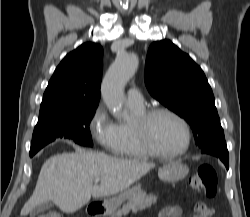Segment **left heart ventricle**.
<instances>
[{
  "mask_svg": "<svg viewBox=\"0 0 250 217\" xmlns=\"http://www.w3.org/2000/svg\"><path fill=\"white\" fill-rule=\"evenodd\" d=\"M149 134L155 147L165 153L180 150L185 144L183 127L167 114L156 115L151 120Z\"/></svg>",
  "mask_w": 250,
  "mask_h": 217,
  "instance_id": "1",
  "label": "left heart ventricle"
}]
</instances>
